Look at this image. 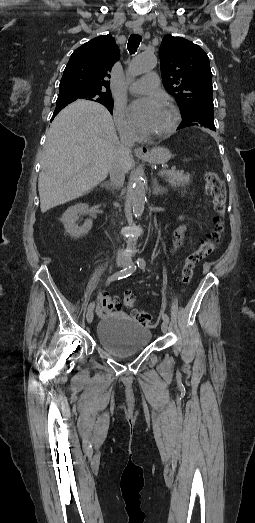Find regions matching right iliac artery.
Returning <instances> with one entry per match:
<instances>
[{
	"label": "right iliac artery",
	"instance_id": "1",
	"mask_svg": "<svg viewBox=\"0 0 255 523\" xmlns=\"http://www.w3.org/2000/svg\"><path fill=\"white\" fill-rule=\"evenodd\" d=\"M136 267H137V265L133 264V265H131L129 267H126V268L122 269L121 271H119L117 273H114L113 275H111L107 279V284H109L110 282H112L114 280H117V279L119 280V279L128 277L129 275H131L136 270ZM94 306H95V303L91 302L89 304V306H88V310H93Z\"/></svg>",
	"mask_w": 255,
	"mask_h": 523
}]
</instances>
